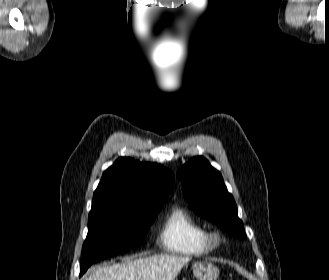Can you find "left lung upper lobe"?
Returning <instances> with one entry per match:
<instances>
[{"label":"left lung upper lobe","instance_id":"5c2ea615","mask_svg":"<svg viewBox=\"0 0 329 280\" xmlns=\"http://www.w3.org/2000/svg\"><path fill=\"white\" fill-rule=\"evenodd\" d=\"M183 193L190 208L228 233L245 239L243 222L233 196L227 191L219 171L203 157H195L179 168Z\"/></svg>","mask_w":329,"mask_h":280}]
</instances>
